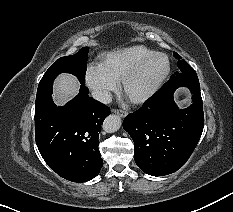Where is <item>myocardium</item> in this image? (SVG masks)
Segmentation results:
<instances>
[{"instance_id":"obj_1","label":"myocardium","mask_w":233,"mask_h":212,"mask_svg":"<svg viewBox=\"0 0 233 212\" xmlns=\"http://www.w3.org/2000/svg\"><path fill=\"white\" fill-rule=\"evenodd\" d=\"M163 57L166 60V70L160 76V78L145 92L142 94L133 96L128 92V88L130 83L136 78V76L140 73V71L154 58ZM171 71V63L169 57L161 52H154L153 54L145 57L140 62H138L122 79L121 81V89L124 96L133 104H142L152 98L158 90L162 87L166 79L168 78Z\"/></svg>"}]
</instances>
